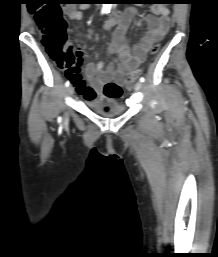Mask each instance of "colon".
<instances>
[{
	"instance_id": "colon-1",
	"label": "colon",
	"mask_w": 218,
	"mask_h": 257,
	"mask_svg": "<svg viewBox=\"0 0 218 257\" xmlns=\"http://www.w3.org/2000/svg\"><path fill=\"white\" fill-rule=\"evenodd\" d=\"M28 10H34L36 24L41 32L42 43L51 58L62 68L66 69L69 77L78 78L81 71L80 56L75 53L68 41L67 23L62 17L63 5H28ZM159 49V45L152 47V54ZM140 74L134 70L128 74L126 87L131 88ZM102 98H123L126 94L124 86L117 82L102 83Z\"/></svg>"
}]
</instances>
